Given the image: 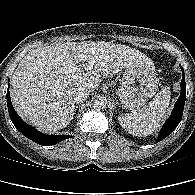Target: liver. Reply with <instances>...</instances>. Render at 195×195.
<instances>
[{
  "label": "liver",
  "instance_id": "1",
  "mask_svg": "<svg viewBox=\"0 0 195 195\" xmlns=\"http://www.w3.org/2000/svg\"><path fill=\"white\" fill-rule=\"evenodd\" d=\"M146 55L111 42H72L50 45L28 53L11 77V100L16 112L44 132H56L73 119V92L97 89ZM79 62L85 70L78 71Z\"/></svg>",
  "mask_w": 195,
  "mask_h": 195
}]
</instances>
